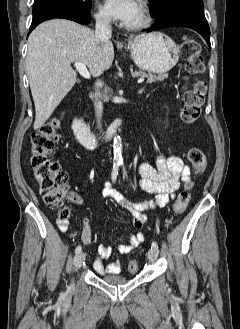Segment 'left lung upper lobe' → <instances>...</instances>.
<instances>
[{
    "mask_svg": "<svg viewBox=\"0 0 240 329\" xmlns=\"http://www.w3.org/2000/svg\"><path fill=\"white\" fill-rule=\"evenodd\" d=\"M150 14L155 19L161 17L166 11L177 6H195L204 8L202 0H149Z\"/></svg>",
    "mask_w": 240,
    "mask_h": 329,
    "instance_id": "left-lung-upper-lobe-1",
    "label": "left lung upper lobe"
}]
</instances>
